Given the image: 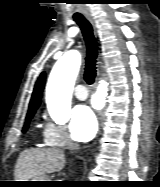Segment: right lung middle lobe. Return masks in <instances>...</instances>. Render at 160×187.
I'll list each match as a JSON object with an SVG mask.
<instances>
[{
    "label": "right lung middle lobe",
    "instance_id": "right-lung-middle-lobe-1",
    "mask_svg": "<svg viewBox=\"0 0 160 187\" xmlns=\"http://www.w3.org/2000/svg\"><path fill=\"white\" fill-rule=\"evenodd\" d=\"M35 111H36V110H31V111L28 112L27 117H26V123H25V125H24V127H23V132H26V131H27L28 126H29V122H30V120L32 119V117H33Z\"/></svg>",
    "mask_w": 160,
    "mask_h": 187
}]
</instances>
